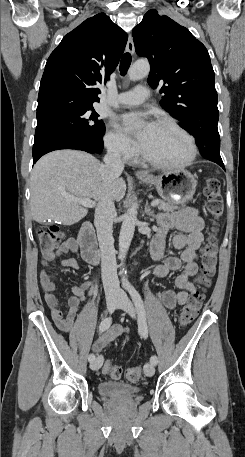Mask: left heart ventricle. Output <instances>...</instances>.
<instances>
[{
	"mask_svg": "<svg viewBox=\"0 0 245 457\" xmlns=\"http://www.w3.org/2000/svg\"><path fill=\"white\" fill-rule=\"evenodd\" d=\"M187 140L179 132L156 127L141 152L159 160L179 162L187 155Z\"/></svg>",
	"mask_w": 245,
	"mask_h": 457,
	"instance_id": "left-heart-ventricle-1",
	"label": "left heart ventricle"
}]
</instances>
